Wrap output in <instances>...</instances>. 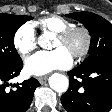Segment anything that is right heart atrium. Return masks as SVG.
<instances>
[{
	"label": "right heart atrium",
	"instance_id": "right-heart-atrium-1",
	"mask_svg": "<svg viewBox=\"0 0 112 112\" xmlns=\"http://www.w3.org/2000/svg\"><path fill=\"white\" fill-rule=\"evenodd\" d=\"M13 45L22 56H27L35 50L37 37L32 23H24L15 31Z\"/></svg>",
	"mask_w": 112,
	"mask_h": 112
}]
</instances>
